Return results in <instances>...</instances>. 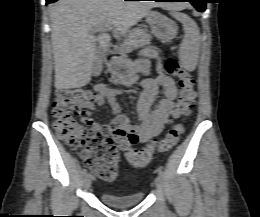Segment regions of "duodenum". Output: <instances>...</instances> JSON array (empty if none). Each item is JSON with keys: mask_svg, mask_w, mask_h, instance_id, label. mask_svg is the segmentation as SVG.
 I'll return each instance as SVG.
<instances>
[{"mask_svg": "<svg viewBox=\"0 0 260 217\" xmlns=\"http://www.w3.org/2000/svg\"><path fill=\"white\" fill-rule=\"evenodd\" d=\"M105 60L114 74L122 71L123 54L116 46L111 45L105 52Z\"/></svg>", "mask_w": 260, "mask_h": 217, "instance_id": "410a0bca", "label": "duodenum"}]
</instances>
